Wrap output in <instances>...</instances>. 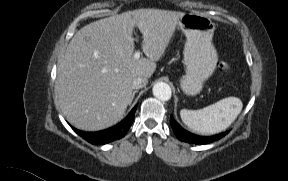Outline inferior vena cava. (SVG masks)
Wrapping results in <instances>:
<instances>
[{
  "instance_id": "obj_1",
  "label": "inferior vena cava",
  "mask_w": 288,
  "mask_h": 181,
  "mask_svg": "<svg viewBox=\"0 0 288 181\" xmlns=\"http://www.w3.org/2000/svg\"><path fill=\"white\" fill-rule=\"evenodd\" d=\"M147 83H148V80L146 78L137 77L132 82V88L133 89H140V88L145 87L147 85Z\"/></svg>"
}]
</instances>
